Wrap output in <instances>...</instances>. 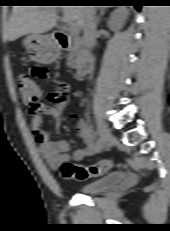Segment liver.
<instances>
[{
    "instance_id": "obj_1",
    "label": "liver",
    "mask_w": 170,
    "mask_h": 231,
    "mask_svg": "<svg viewBox=\"0 0 170 231\" xmlns=\"http://www.w3.org/2000/svg\"><path fill=\"white\" fill-rule=\"evenodd\" d=\"M84 6H62L63 21L83 27ZM58 9L53 6H14L5 31L8 41L26 34H42L55 27Z\"/></svg>"
}]
</instances>
